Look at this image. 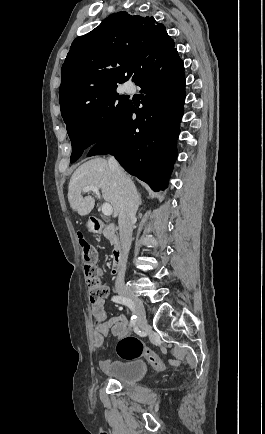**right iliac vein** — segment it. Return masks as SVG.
I'll return each instance as SVG.
<instances>
[{
  "label": "right iliac vein",
  "instance_id": "63e3f726",
  "mask_svg": "<svg viewBox=\"0 0 265 434\" xmlns=\"http://www.w3.org/2000/svg\"><path fill=\"white\" fill-rule=\"evenodd\" d=\"M116 291L132 302L137 316V327L147 323L143 302L136 295L132 294L125 286H117Z\"/></svg>",
  "mask_w": 265,
  "mask_h": 434
}]
</instances>
